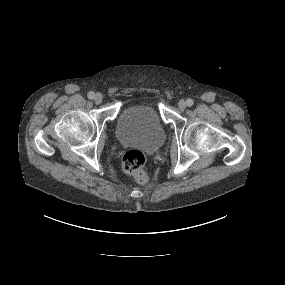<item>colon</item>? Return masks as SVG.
<instances>
[{
  "mask_svg": "<svg viewBox=\"0 0 285 285\" xmlns=\"http://www.w3.org/2000/svg\"><path fill=\"white\" fill-rule=\"evenodd\" d=\"M145 162V154L138 149L127 151L122 159L124 171L140 184L148 182V176L144 170Z\"/></svg>",
  "mask_w": 285,
  "mask_h": 285,
  "instance_id": "5ec220e1",
  "label": "colon"
}]
</instances>
